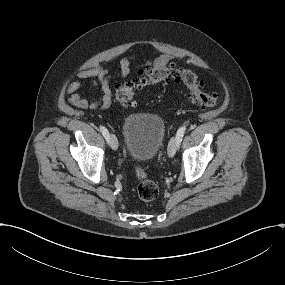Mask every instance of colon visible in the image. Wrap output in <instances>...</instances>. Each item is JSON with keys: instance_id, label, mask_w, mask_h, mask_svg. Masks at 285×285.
<instances>
[{"instance_id": "5ec220e1", "label": "colon", "mask_w": 285, "mask_h": 285, "mask_svg": "<svg viewBox=\"0 0 285 285\" xmlns=\"http://www.w3.org/2000/svg\"><path fill=\"white\" fill-rule=\"evenodd\" d=\"M170 81L184 84L189 92L191 102L201 108L215 107L220 100L218 93L203 89L202 83L193 72L173 64L146 67L140 70L135 78L117 83L115 99L122 106H133L138 92L152 85ZM135 175L138 179L137 194L139 198L143 201L154 200L159 192L157 185L148 178L147 173L140 166H135Z\"/></svg>"}]
</instances>
